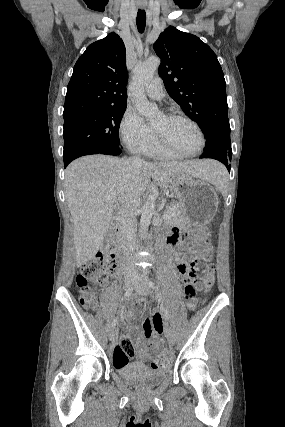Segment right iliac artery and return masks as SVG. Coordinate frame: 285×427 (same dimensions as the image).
I'll list each match as a JSON object with an SVG mask.
<instances>
[{"instance_id":"82829eb1","label":"right iliac artery","mask_w":285,"mask_h":427,"mask_svg":"<svg viewBox=\"0 0 285 427\" xmlns=\"http://www.w3.org/2000/svg\"><path fill=\"white\" fill-rule=\"evenodd\" d=\"M132 292H133V288L131 287V288H129V289L125 292V294H124V300L128 299V298L131 296ZM117 322H118V321H117V318H115V319L113 320V322H112V327H113V328L116 326Z\"/></svg>"}]
</instances>
